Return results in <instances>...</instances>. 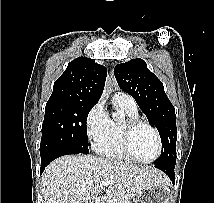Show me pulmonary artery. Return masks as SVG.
I'll return each mask as SVG.
<instances>
[{"instance_id":"pulmonary-artery-1","label":"pulmonary artery","mask_w":214,"mask_h":203,"mask_svg":"<svg viewBox=\"0 0 214 203\" xmlns=\"http://www.w3.org/2000/svg\"><path fill=\"white\" fill-rule=\"evenodd\" d=\"M114 97L122 100L123 102H125L126 104L131 106L132 108H137L135 100L130 95H128L124 92L118 91L115 93Z\"/></svg>"}]
</instances>
